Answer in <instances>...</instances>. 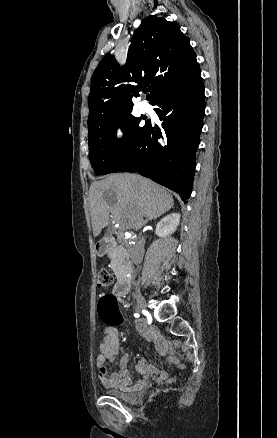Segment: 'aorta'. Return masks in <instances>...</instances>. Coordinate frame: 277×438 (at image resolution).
<instances>
[{
    "mask_svg": "<svg viewBox=\"0 0 277 438\" xmlns=\"http://www.w3.org/2000/svg\"><path fill=\"white\" fill-rule=\"evenodd\" d=\"M134 238H136V234H135V233H133V232H127V233L125 234V239L123 240V242H124V243H128V242H130L131 240H133Z\"/></svg>",
    "mask_w": 277,
    "mask_h": 438,
    "instance_id": "obj_1",
    "label": "aorta"
}]
</instances>
